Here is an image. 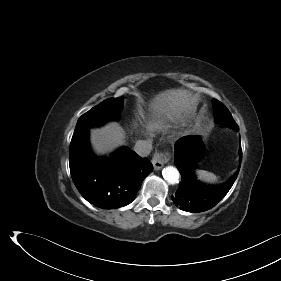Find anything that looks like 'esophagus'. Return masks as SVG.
I'll use <instances>...</instances> for the list:
<instances>
[{"mask_svg":"<svg viewBox=\"0 0 281 281\" xmlns=\"http://www.w3.org/2000/svg\"><path fill=\"white\" fill-rule=\"evenodd\" d=\"M168 161H169L168 154L156 152L152 158V164H153L154 170L161 169L164 166V164L167 163Z\"/></svg>","mask_w":281,"mask_h":281,"instance_id":"34e87169","label":"esophagus"}]
</instances>
